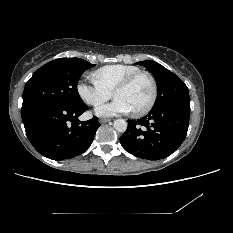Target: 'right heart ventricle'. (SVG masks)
<instances>
[{
	"instance_id": "obj_1",
	"label": "right heart ventricle",
	"mask_w": 233,
	"mask_h": 233,
	"mask_svg": "<svg viewBox=\"0 0 233 233\" xmlns=\"http://www.w3.org/2000/svg\"><path fill=\"white\" fill-rule=\"evenodd\" d=\"M138 71L140 69L134 65L113 64L99 68L91 77L93 81L112 92L123 79Z\"/></svg>"
}]
</instances>
